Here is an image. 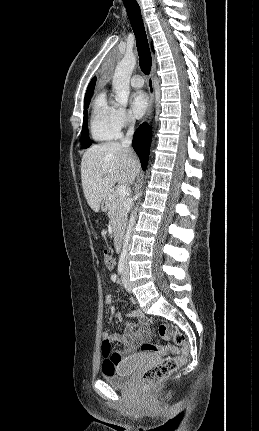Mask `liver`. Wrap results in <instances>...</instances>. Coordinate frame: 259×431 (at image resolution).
Wrapping results in <instances>:
<instances>
[{
    "instance_id": "obj_1",
    "label": "liver",
    "mask_w": 259,
    "mask_h": 431,
    "mask_svg": "<svg viewBox=\"0 0 259 431\" xmlns=\"http://www.w3.org/2000/svg\"><path fill=\"white\" fill-rule=\"evenodd\" d=\"M140 168L135 153L120 143L108 142L88 148L81 161V180L91 209L98 212L115 183L131 184Z\"/></svg>"
}]
</instances>
